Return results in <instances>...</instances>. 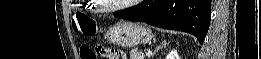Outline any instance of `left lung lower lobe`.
Returning <instances> with one entry per match:
<instances>
[{"label":"left lung lower lobe","instance_id":"obj_1","mask_svg":"<svg viewBox=\"0 0 261 59\" xmlns=\"http://www.w3.org/2000/svg\"><path fill=\"white\" fill-rule=\"evenodd\" d=\"M116 17L193 34L202 44L211 19V0H144Z\"/></svg>","mask_w":261,"mask_h":59}]
</instances>
